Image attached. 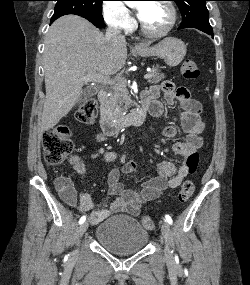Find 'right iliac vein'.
Returning a JSON list of instances; mask_svg holds the SVG:
<instances>
[{"label": "right iliac vein", "mask_w": 250, "mask_h": 285, "mask_svg": "<svg viewBox=\"0 0 250 285\" xmlns=\"http://www.w3.org/2000/svg\"><path fill=\"white\" fill-rule=\"evenodd\" d=\"M88 228V222H84L80 225L78 231H77V236H76V239H77V244H79V240L80 238L83 236V234L85 233V231L87 230Z\"/></svg>", "instance_id": "63e3f726"}]
</instances>
